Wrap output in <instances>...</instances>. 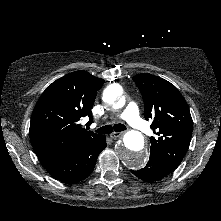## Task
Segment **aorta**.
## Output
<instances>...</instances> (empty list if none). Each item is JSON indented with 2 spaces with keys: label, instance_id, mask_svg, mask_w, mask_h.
I'll list each match as a JSON object with an SVG mask.
<instances>
[{
  "label": "aorta",
  "instance_id": "762f6f07",
  "mask_svg": "<svg viewBox=\"0 0 221 221\" xmlns=\"http://www.w3.org/2000/svg\"><path fill=\"white\" fill-rule=\"evenodd\" d=\"M103 100L114 108H121L125 104L121 87L117 84L110 85L104 90ZM144 148L143 135L138 131L130 130L124 134L123 142L117 148V155L128 168L140 169L147 159Z\"/></svg>",
  "mask_w": 221,
  "mask_h": 221
}]
</instances>
